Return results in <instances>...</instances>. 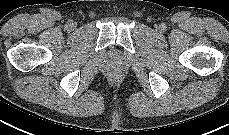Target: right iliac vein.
Listing matches in <instances>:
<instances>
[{
  "mask_svg": "<svg viewBox=\"0 0 229 135\" xmlns=\"http://www.w3.org/2000/svg\"><path fill=\"white\" fill-rule=\"evenodd\" d=\"M69 27H70V29H75L76 25H75V23H70Z\"/></svg>",
  "mask_w": 229,
  "mask_h": 135,
  "instance_id": "obj_1",
  "label": "right iliac vein"
}]
</instances>
